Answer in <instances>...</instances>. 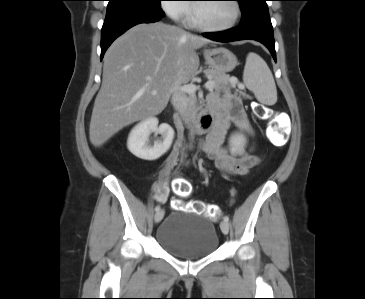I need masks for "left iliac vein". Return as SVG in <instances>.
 Listing matches in <instances>:
<instances>
[{
	"mask_svg": "<svg viewBox=\"0 0 365 299\" xmlns=\"http://www.w3.org/2000/svg\"><path fill=\"white\" fill-rule=\"evenodd\" d=\"M220 228H221V231L224 233V234H228L229 232V223L226 222V221H222L220 223Z\"/></svg>",
	"mask_w": 365,
	"mask_h": 299,
	"instance_id": "left-iliac-vein-1",
	"label": "left iliac vein"
}]
</instances>
